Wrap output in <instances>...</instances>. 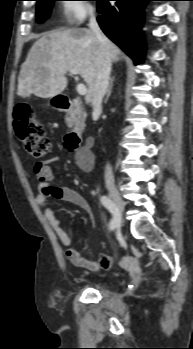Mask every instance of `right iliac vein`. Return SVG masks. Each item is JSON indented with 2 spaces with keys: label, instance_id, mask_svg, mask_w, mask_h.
<instances>
[{
  "label": "right iliac vein",
  "instance_id": "63e3f726",
  "mask_svg": "<svg viewBox=\"0 0 193 349\" xmlns=\"http://www.w3.org/2000/svg\"><path fill=\"white\" fill-rule=\"evenodd\" d=\"M109 195H110L111 199L113 200V203H114V205L116 207V214H117L116 222H117V226L121 227V225H122V215H123L125 203H124L123 199L121 198V196L116 191V189L110 188L109 189Z\"/></svg>",
  "mask_w": 193,
  "mask_h": 349
}]
</instances>
